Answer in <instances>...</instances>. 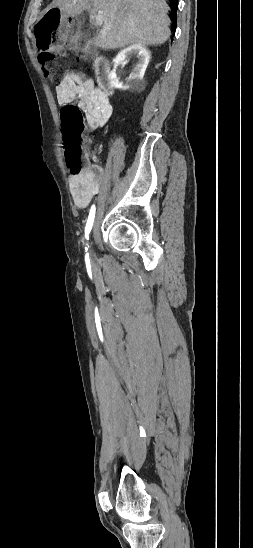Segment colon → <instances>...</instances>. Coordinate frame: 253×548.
I'll use <instances>...</instances> for the list:
<instances>
[{
    "instance_id": "1",
    "label": "colon",
    "mask_w": 253,
    "mask_h": 548,
    "mask_svg": "<svg viewBox=\"0 0 253 548\" xmlns=\"http://www.w3.org/2000/svg\"><path fill=\"white\" fill-rule=\"evenodd\" d=\"M67 33L62 26L59 10H50L35 26L37 46L44 75L55 85H60L67 73V64L58 58L63 55L64 37ZM91 52L86 50V55ZM64 123L65 158L70 177L80 175L86 168L83 163L84 119L76 105H66L62 109Z\"/></svg>"
}]
</instances>
